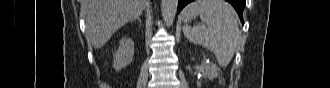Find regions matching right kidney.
Masks as SVG:
<instances>
[{
  "instance_id": "right-kidney-1",
  "label": "right kidney",
  "mask_w": 330,
  "mask_h": 88,
  "mask_svg": "<svg viewBox=\"0 0 330 88\" xmlns=\"http://www.w3.org/2000/svg\"><path fill=\"white\" fill-rule=\"evenodd\" d=\"M134 56V42L131 38H124L120 41L119 47L113 56V67L120 70L129 65Z\"/></svg>"
}]
</instances>
